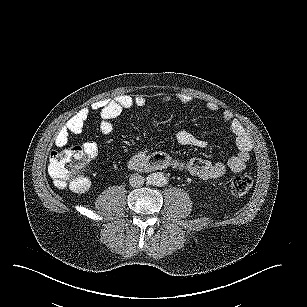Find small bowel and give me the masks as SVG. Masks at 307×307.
<instances>
[{
    "mask_svg": "<svg viewBox=\"0 0 307 307\" xmlns=\"http://www.w3.org/2000/svg\"><path fill=\"white\" fill-rule=\"evenodd\" d=\"M177 100L182 104H189L191 97L188 94L180 93ZM170 97H162L160 102H170ZM146 100L142 95L130 96L121 95L114 99L100 100L92 104L91 109L99 112L101 117L100 132L103 135H109L113 130V120L117 118L124 110L132 107H141L145 105ZM206 108L212 113H219L221 120L228 126L230 133L235 138L237 152L226 162H211L204 159L193 158L186 163L177 162L165 153L148 154L140 151L133 155L129 160V167L132 169H164L168 167L184 170L193 176L202 179H213L222 176L227 170L238 173L245 169L246 163L250 159L252 142L241 123L234 117L229 110L220 111L219 107L213 102H207ZM90 109H82L73 115L67 123L58 132L55 144L57 147H65L71 135L80 134L89 118ZM177 141L182 145L204 148L207 142L181 129L176 133ZM85 156L90 162L98 154V145L96 142L89 141L82 147Z\"/></svg>",
    "mask_w": 307,
    "mask_h": 307,
    "instance_id": "c3829d8e",
    "label": "small bowel"
}]
</instances>
